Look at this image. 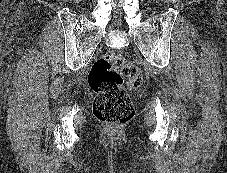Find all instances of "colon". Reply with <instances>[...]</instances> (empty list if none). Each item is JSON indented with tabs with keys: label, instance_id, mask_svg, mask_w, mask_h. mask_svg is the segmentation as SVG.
Returning a JSON list of instances; mask_svg holds the SVG:
<instances>
[{
	"label": "colon",
	"instance_id": "obj_1",
	"mask_svg": "<svg viewBox=\"0 0 227 173\" xmlns=\"http://www.w3.org/2000/svg\"><path fill=\"white\" fill-rule=\"evenodd\" d=\"M142 73L122 55L109 52L92 65L88 82L96 93L94 116L102 123L120 126L134 116V107L126 86L136 89L142 84Z\"/></svg>",
	"mask_w": 227,
	"mask_h": 173
}]
</instances>
